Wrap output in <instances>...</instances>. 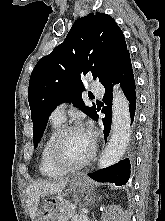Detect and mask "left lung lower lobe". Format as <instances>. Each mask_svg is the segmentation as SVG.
Here are the masks:
<instances>
[{"mask_svg": "<svg viewBox=\"0 0 165 221\" xmlns=\"http://www.w3.org/2000/svg\"><path fill=\"white\" fill-rule=\"evenodd\" d=\"M113 83H120L121 88L129 101V111L132 123L136 110V85L130 60V54L125 56L114 74L105 83H103V86L105 87V95L103 97L105 107H103L102 112L105 114V118L103 119L105 142L109 135L112 122L111 107ZM94 119L98 120L97 114ZM130 161L131 160L129 158H126L108 168L90 173L88 176L98 182H111L115 183L116 186L125 185L130 177Z\"/></svg>", "mask_w": 165, "mask_h": 221, "instance_id": "0a47b994", "label": "left lung lower lobe"}]
</instances>
